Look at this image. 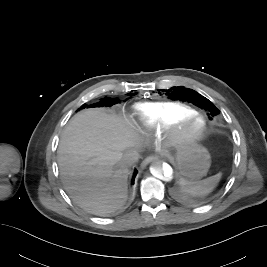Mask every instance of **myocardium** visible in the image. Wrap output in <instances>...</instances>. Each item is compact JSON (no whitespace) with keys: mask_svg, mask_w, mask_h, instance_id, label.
Wrapping results in <instances>:
<instances>
[{"mask_svg":"<svg viewBox=\"0 0 267 267\" xmlns=\"http://www.w3.org/2000/svg\"><path fill=\"white\" fill-rule=\"evenodd\" d=\"M199 122L196 129H190ZM207 120L198 112L185 115L164 127L165 143L170 149L193 146L202 140L207 132Z\"/></svg>","mask_w":267,"mask_h":267,"instance_id":"obj_1","label":"myocardium"}]
</instances>
